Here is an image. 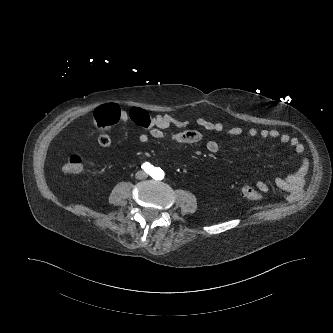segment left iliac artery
Returning a JSON list of instances; mask_svg holds the SVG:
<instances>
[{
  "instance_id": "obj_1",
  "label": "left iliac artery",
  "mask_w": 333,
  "mask_h": 333,
  "mask_svg": "<svg viewBox=\"0 0 333 333\" xmlns=\"http://www.w3.org/2000/svg\"><path fill=\"white\" fill-rule=\"evenodd\" d=\"M162 173V170L160 168H156L155 174L158 176Z\"/></svg>"
}]
</instances>
